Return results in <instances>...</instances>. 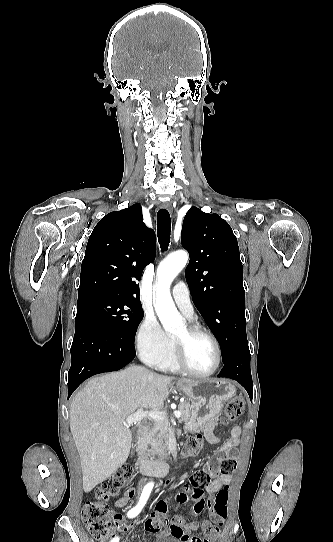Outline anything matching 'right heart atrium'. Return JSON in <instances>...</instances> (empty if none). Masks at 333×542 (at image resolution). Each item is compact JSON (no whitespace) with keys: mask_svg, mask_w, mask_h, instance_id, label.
I'll list each match as a JSON object with an SVG mask.
<instances>
[{"mask_svg":"<svg viewBox=\"0 0 333 542\" xmlns=\"http://www.w3.org/2000/svg\"><path fill=\"white\" fill-rule=\"evenodd\" d=\"M135 342L138 355L144 359L164 352L171 345L158 319L151 314L145 315L138 325Z\"/></svg>","mask_w":333,"mask_h":542,"instance_id":"obj_1","label":"right heart atrium"}]
</instances>
